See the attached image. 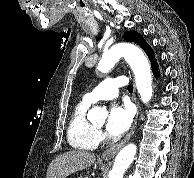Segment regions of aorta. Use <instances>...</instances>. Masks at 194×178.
I'll use <instances>...</instances> for the list:
<instances>
[{
  "label": "aorta",
  "mask_w": 194,
  "mask_h": 178,
  "mask_svg": "<svg viewBox=\"0 0 194 178\" xmlns=\"http://www.w3.org/2000/svg\"><path fill=\"white\" fill-rule=\"evenodd\" d=\"M124 57L130 65L134 75L138 93L143 103L147 104L152 97V78L151 68L148 59L141 49L130 43H120L114 45L110 50L104 53L98 63L97 69L102 73H107L115 63ZM104 111L99 107L92 108L87 117L93 122L99 121ZM135 144L126 145L116 156L109 178H123L125 170L131 165L136 154Z\"/></svg>",
  "instance_id": "aorta-1"
}]
</instances>
